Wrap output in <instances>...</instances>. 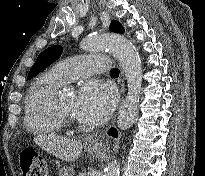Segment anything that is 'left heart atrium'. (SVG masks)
<instances>
[{
	"instance_id": "obj_1",
	"label": "left heart atrium",
	"mask_w": 205,
	"mask_h": 176,
	"mask_svg": "<svg viewBox=\"0 0 205 176\" xmlns=\"http://www.w3.org/2000/svg\"><path fill=\"white\" fill-rule=\"evenodd\" d=\"M116 102L115 90L98 80L85 82L76 100V115L83 121L99 124L109 117Z\"/></svg>"
}]
</instances>
